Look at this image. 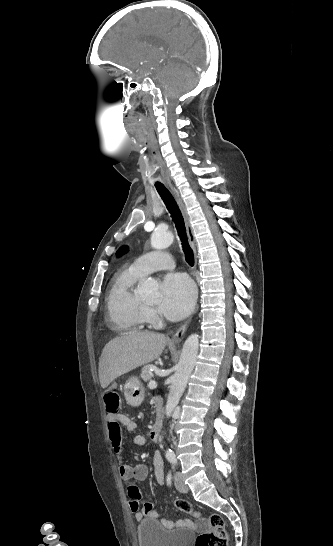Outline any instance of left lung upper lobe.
<instances>
[{
    "mask_svg": "<svg viewBox=\"0 0 333 546\" xmlns=\"http://www.w3.org/2000/svg\"><path fill=\"white\" fill-rule=\"evenodd\" d=\"M128 248L126 246H122L118 251H117V255L118 256H121L122 254H124L125 252H127Z\"/></svg>",
    "mask_w": 333,
    "mask_h": 546,
    "instance_id": "5c2ea615",
    "label": "left lung upper lobe"
}]
</instances>
